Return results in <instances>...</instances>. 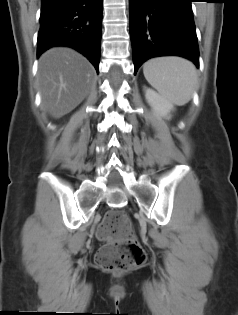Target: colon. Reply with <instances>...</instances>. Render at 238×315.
<instances>
[{"label": "colon", "instance_id": "colon-1", "mask_svg": "<svg viewBox=\"0 0 238 315\" xmlns=\"http://www.w3.org/2000/svg\"><path fill=\"white\" fill-rule=\"evenodd\" d=\"M97 236L107 241L96 255L97 264L110 271H124L143 264L146 255L130 230L123 211L108 212L97 229Z\"/></svg>", "mask_w": 238, "mask_h": 315}]
</instances>
